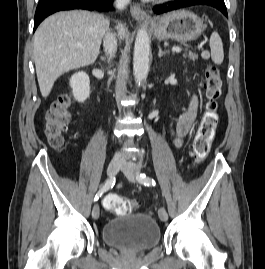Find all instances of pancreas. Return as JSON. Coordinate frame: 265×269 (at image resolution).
I'll return each instance as SVG.
<instances>
[{
  "label": "pancreas",
  "instance_id": "pancreas-1",
  "mask_svg": "<svg viewBox=\"0 0 265 269\" xmlns=\"http://www.w3.org/2000/svg\"><path fill=\"white\" fill-rule=\"evenodd\" d=\"M183 57H184V58H189V59L192 60V61H195V60L198 59V55L193 54L192 52L184 53V54H183Z\"/></svg>",
  "mask_w": 265,
  "mask_h": 269
}]
</instances>
